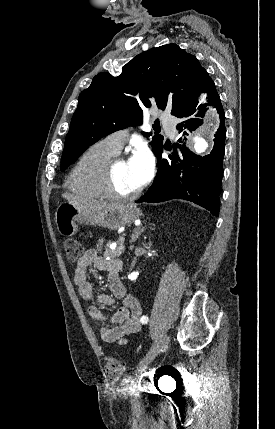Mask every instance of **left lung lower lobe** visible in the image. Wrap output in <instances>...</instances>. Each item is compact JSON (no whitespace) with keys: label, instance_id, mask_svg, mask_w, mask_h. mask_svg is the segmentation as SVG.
Returning <instances> with one entry per match:
<instances>
[{"label":"left lung lower lobe","instance_id":"1","mask_svg":"<svg viewBox=\"0 0 275 429\" xmlns=\"http://www.w3.org/2000/svg\"><path fill=\"white\" fill-rule=\"evenodd\" d=\"M206 92L209 104L214 105L220 115V127L215 134L214 147L209 155L199 156L185 145L177 144L180 152L174 150L168 159L162 158V148L157 157V174L152 186L138 201L157 203L171 199H184L198 204L218 216L221 181L223 176V156L225 151V113L213 80L203 68L199 74L194 94L176 117L181 119L177 125L179 133L194 131L202 124L207 104L198 105V95ZM181 142V138L178 140Z\"/></svg>","mask_w":275,"mask_h":429}]
</instances>
